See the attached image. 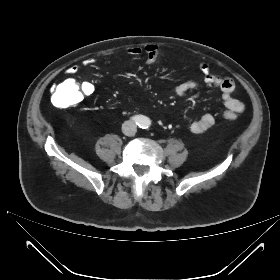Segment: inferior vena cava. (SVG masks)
<instances>
[{"label":"inferior vena cava","mask_w":280,"mask_h":280,"mask_svg":"<svg viewBox=\"0 0 280 280\" xmlns=\"http://www.w3.org/2000/svg\"><path fill=\"white\" fill-rule=\"evenodd\" d=\"M122 131L127 136H133L137 131V126L132 121H125L122 125Z\"/></svg>","instance_id":"1"}]
</instances>
